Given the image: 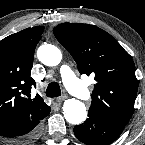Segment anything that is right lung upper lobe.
I'll return each mask as SVG.
<instances>
[{"label":"right lung upper lobe","mask_w":145,"mask_h":145,"mask_svg":"<svg viewBox=\"0 0 145 145\" xmlns=\"http://www.w3.org/2000/svg\"><path fill=\"white\" fill-rule=\"evenodd\" d=\"M43 26L27 28L0 41V128L22 125L46 107L37 95L27 99L35 81L30 76Z\"/></svg>","instance_id":"cb5924a9"}]
</instances>
